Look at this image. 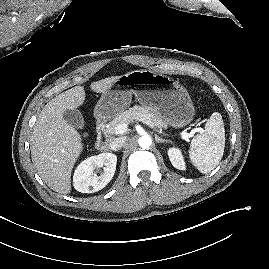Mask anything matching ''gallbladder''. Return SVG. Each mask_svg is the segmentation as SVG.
Here are the masks:
<instances>
[{"label":"gallbladder","mask_w":269,"mask_h":269,"mask_svg":"<svg viewBox=\"0 0 269 269\" xmlns=\"http://www.w3.org/2000/svg\"><path fill=\"white\" fill-rule=\"evenodd\" d=\"M64 120L76 129H83L85 121L81 112L77 109H66L63 112Z\"/></svg>","instance_id":"obj_1"}]
</instances>
